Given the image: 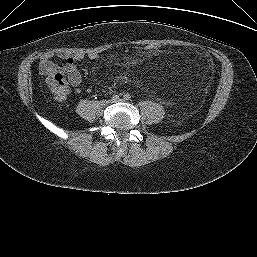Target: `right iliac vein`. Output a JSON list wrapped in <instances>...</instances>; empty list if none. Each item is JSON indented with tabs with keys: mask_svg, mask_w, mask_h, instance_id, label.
I'll return each mask as SVG.
<instances>
[{
	"mask_svg": "<svg viewBox=\"0 0 257 257\" xmlns=\"http://www.w3.org/2000/svg\"><path fill=\"white\" fill-rule=\"evenodd\" d=\"M103 103H104V104H109V103H111V101L108 100V101H104Z\"/></svg>",
	"mask_w": 257,
	"mask_h": 257,
	"instance_id": "63e3f726",
	"label": "right iliac vein"
}]
</instances>
